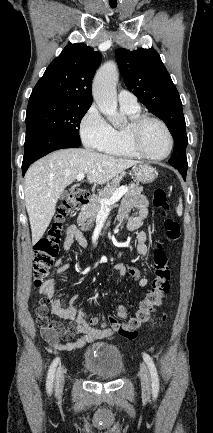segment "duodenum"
<instances>
[{"label":"duodenum","mask_w":213,"mask_h":433,"mask_svg":"<svg viewBox=\"0 0 213 433\" xmlns=\"http://www.w3.org/2000/svg\"><path fill=\"white\" fill-rule=\"evenodd\" d=\"M88 202H89V197L87 198L86 201L83 202L82 206H86L88 204Z\"/></svg>","instance_id":"1"}]
</instances>
